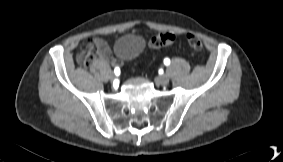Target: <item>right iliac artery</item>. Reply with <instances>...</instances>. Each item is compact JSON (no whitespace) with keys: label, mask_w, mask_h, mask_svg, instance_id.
<instances>
[{"label":"right iliac artery","mask_w":283,"mask_h":162,"mask_svg":"<svg viewBox=\"0 0 283 162\" xmlns=\"http://www.w3.org/2000/svg\"><path fill=\"white\" fill-rule=\"evenodd\" d=\"M114 72H115L116 76H119V75H120V69H119V67H116V68L114 69Z\"/></svg>","instance_id":"right-iliac-artery-1"}]
</instances>
